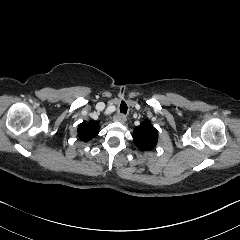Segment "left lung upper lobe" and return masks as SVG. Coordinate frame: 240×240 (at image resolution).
Masks as SVG:
<instances>
[{"label":"left lung upper lobe","mask_w":240,"mask_h":240,"mask_svg":"<svg viewBox=\"0 0 240 240\" xmlns=\"http://www.w3.org/2000/svg\"><path fill=\"white\" fill-rule=\"evenodd\" d=\"M133 140L139 149L148 151L156 146L158 141V132L150 121L146 120L135 128Z\"/></svg>","instance_id":"left-lung-upper-lobe-1"}]
</instances>
